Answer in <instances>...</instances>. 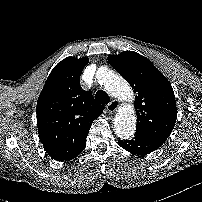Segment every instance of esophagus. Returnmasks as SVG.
Masks as SVG:
<instances>
[{
	"label": "esophagus",
	"instance_id": "obj_1",
	"mask_svg": "<svg viewBox=\"0 0 202 202\" xmlns=\"http://www.w3.org/2000/svg\"><path fill=\"white\" fill-rule=\"evenodd\" d=\"M119 107H120L119 102L116 100H113L106 106V110L108 113L112 114V113H115L119 109Z\"/></svg>",
	"mask_w": 202,
	"mask_h": 202
}]
</instances>
